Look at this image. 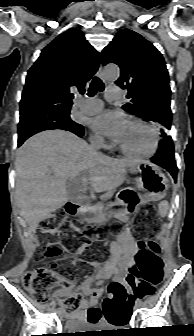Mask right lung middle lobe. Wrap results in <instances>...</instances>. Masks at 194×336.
<instances>
[{
    "instance_id": "dd1d6c3e",
    "label": "right lung middle lobe",
    "mask_w": 194,
    "mask_h": 336,
    "mask_svg": "<svg viewBox=\"0 0 194 336\" xmlns=\"http://www.w3.org/2000/svg\"><path fill=\"white\" fill-rule=\"evenodd\" d=\"M48 129H63L71 132H82V125L71 119L70 111H42L33 117L20 120L18 128L19 139Z\"/></svg>"
}]
</instances>
